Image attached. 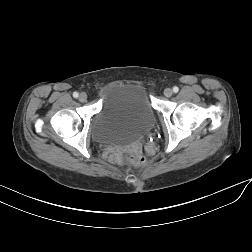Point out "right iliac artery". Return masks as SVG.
<instances>
[{
    "label": "right iliac artery",
    "mask_w": 252,
    "mask_h": 252,
    "mask_svg": "<svg viewBox=\"0 0 252 252\" xmlns=\"http://www.w3.org/2000/svg\"><path fill=\"white\" fill-rule=\"evenodd\" d=\"M78 96H79V94H78L77 92H74V93H73V97H74V98H77Z\"/></svg>",
    "instance_id": "obj_1"
}]
</instances>
